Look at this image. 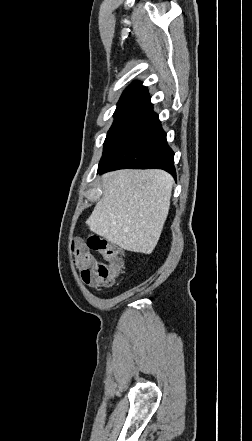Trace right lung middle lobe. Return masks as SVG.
Listing matches in <instances>:
<instances>
[{
  "label": "right lung middle lobe",
  "mask_w": 252,
  "mask_h": 441,
  "mask_svg": "<svg viewBox=\"0 0 252 441\" xmlns=\"http://www.w3.org/2000/svg\"><path fill=\"white\" fill-rule=\"evenodd\" d=\"M147 103L117 107L114 123L107 133L100 164L108 162L124 143L146 109Z\"/></svg>",
  "instance_id": "1"
}]
</instances>
